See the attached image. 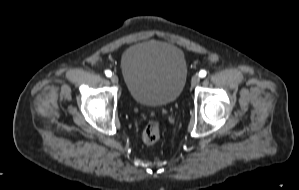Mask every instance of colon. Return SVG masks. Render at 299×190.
Instances as JSON below:
<instances>
[{
	"instance_id": "1",
	"label": "colon",
	"mask_w": 299,
	"mask_h": 190,
	"mask_svg": "<svg viewBox=\"0 0 299 190\" xmlns=\"http://www.w3.org/2000/svg\"><path fill=\"white\" fill-rule=\"evenodd\" d=\"M161 135V123L159 121L149 122L143 130L142 138L146 144L156 143Z\"/></svg>"
}]
</instances>
